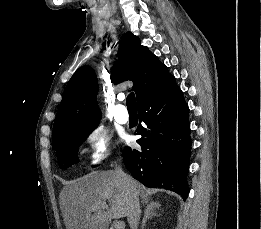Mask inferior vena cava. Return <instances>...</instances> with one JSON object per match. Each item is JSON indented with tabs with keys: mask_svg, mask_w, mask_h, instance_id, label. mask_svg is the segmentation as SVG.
Instances as JSON below:
<instances>
[{
	"mask_svg": "<svg viewBox=\"0 0 261 229\" xmlns=\"http://www.w3.org/2000/svg\"><path fill=\"white\" fill-rule=\"evenodd\" d=\"M115 173L119 175L122 179V183L124 185V189H126V193L130 199L129 203V217L128 223L130 229H138L139 221H140V205L138 195L135 193V187L133 185V181L131 177H128L124 171H122L119 165H116Z\"/></svg>",
	"mask_w": 261,
	"mask_h": 229,
	"instance_id": "1",
	"label": "inferior vena cava"
}]
</instances>
